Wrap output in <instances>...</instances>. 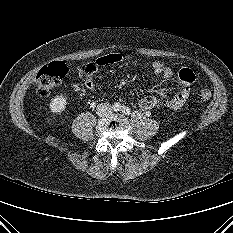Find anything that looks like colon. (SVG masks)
Masks as SVG:
<instances>
[{"mask_svg": "<svg viewBox=\"0 0 233 233\" xmlns=\"http://www.w3.org/2000/svg\"><path fill=\"white\" fill-rule=\"evenodd\" d=\"M82 74H91L94 71L93 64L82 66ZM68 74V67L62 62H53L40 69L34 79V86L37 93L41 96L50 95L54 89L62 82ZM184 78L193 82L195 77L192 73H185ZM211 98V92L208 89H203L200 93L202 101H208Z\"/></svg>", "mask_w": 233, "mask_h": 233, "instance_id": "1", "label": "colon"}]
</instances>
